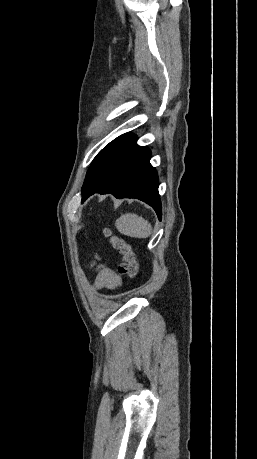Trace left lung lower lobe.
I'll list each match as a JSON object with an SVG mask.
<instances>
[{
	"instance_id": "0a47b994",
	"label": "left lung lower lobe",
	"mask_w": 257,
	"mask_h": 459,
	"mask_svg": "<svg viewBox=\"0 0 257 459\" xmlns=\"http://www.w3.org/2000/svg\"><path fill=\"white\" fill-rule=\"evenodd\" d=\"M135 142L136 138L126 133L99 152L100 168L83 201L94 193L137 198L152 206L161 219L158 177L149 163L150 151Z\"/></svg>"
}]
</instances>
